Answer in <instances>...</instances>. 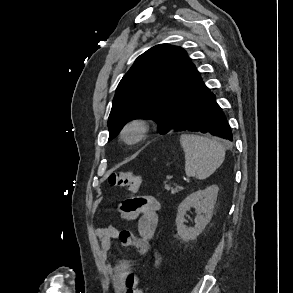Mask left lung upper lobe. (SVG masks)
Listing matches in <instances>:
<instances>
[{
    "mask_svg": "<svg viewBox=\"0 0 293 293\" xmlns=\"http://www.w3.org/2000/svg\"><path fill=\"white\" fill-rule=\"evenodd\" d=\"M208 88L186 52L160 44L140 55L120 81L108 119L109 141L134 119H151L172 131L187 104Z\"/></svg>",
    "mask_w": 293,
    "mask_h": 293,
    "instance_id": "left-lung-upper-lobe-1",
    "label": "left lung upper lobe"
}]
</instances>
